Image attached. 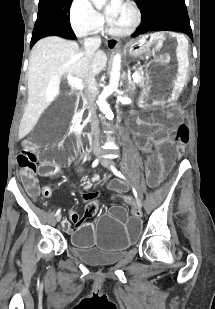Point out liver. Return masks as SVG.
<instances>
[{"label":"liver","mask_w":215,"mask_h":309,"mask_svg":"<svg viewBox=\"0 0 215 309\" xmlns=\"http://www.w3.org/2000/svg\"><path fill=\"white\" fill-rule=\"evenodd\" d=\"M104 50L95 52L91 64L85 58V50L75 40L61 36H46L34 44L28 66V104L19 126V138L26 136L36 124L40 114L58 96L62 76L85 78L88 72L94 76L106 66Z\"/></svg>","instance_id":"6515ba94"}]
</instances>
